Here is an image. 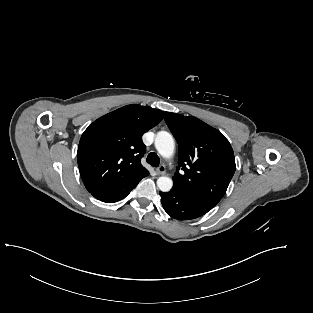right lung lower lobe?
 <instances>
[{
    "instance_id": "98d812e1",
    "label": "right lung lower lobe",
    "mask_w": 313,
    "mask_h": 313,
    "mask_svg": "<svg viewBox=\"0 0 313 313\" xmlns=\"http://www.w3.org/2000/svg\"><path fill=\"white\" fill-rule=\"evenodd\" d=\"M142 178L143 177H138L121 185L112 186L91 192V194L96 199L102 202L114 203L125 198L131 192V190H133L137 186V184Z\"/></svg>"
}]
</instances>
